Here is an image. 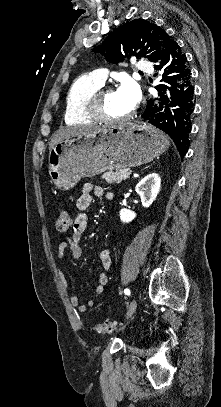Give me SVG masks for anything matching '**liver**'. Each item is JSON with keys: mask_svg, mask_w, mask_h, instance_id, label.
Returning a JSON list of instances; mask_svg holds the SVG:
<instances>
[{"mask_svg": "<svg viewBox=\"0 0 221 407\" xmlns=\"http://www.w3.org/2000/svg\"><path fill=\"white\" fill-rule=\"evenodd\" d=\"M106 127H98V126H77V127H67L63 129H59L51 139L49 144V150H51L57 143L60 141L74 137L79 135H88L96 133Z\"/></svg>", "mask_w": 221, "mask_h": 407, "instance_id": "1", "label": "liver"}]
</instances>
